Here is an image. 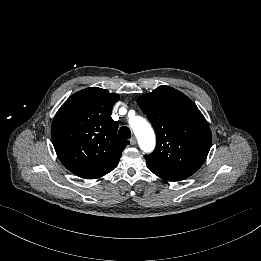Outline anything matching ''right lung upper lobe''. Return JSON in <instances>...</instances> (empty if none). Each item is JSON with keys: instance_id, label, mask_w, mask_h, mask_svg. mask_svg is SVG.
I'll use <instances>...</instances> for the list:
<instances>
[{"instance_id": "obj_1", "label": "right lung upper lobe", "mask_w": 261, "mask_h": 261, "mask_svg": "<svg viewBox=\"0 0 261 261\" xmlns=\"http://www.w3.org/2000/svg\"><path fill=\"white\" fill-rule=\"evenodd\" d=\"M118 94L90 87L70 96L54 117L52 141L62 164L85 179L102 177L120 160L128 140L117 134L111 118Z\"/></svg>"}]
</instances>
